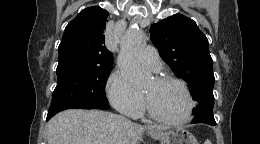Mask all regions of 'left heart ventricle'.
I'll return each instance as SVG.
<instances>
[{
	"label": "left heart ventricle",
	"mask_w": 260,
	"mask_h": 144,
	"mask_svg": "<svg viewBox=\"0 0 260 144\" xmlns=\"http://www.w3.org/2000/svg\"><path fill=\"white\" fill-rule=\"evenodd\" d=\"M142 92L154 110L166 118L183 119L188 112V99L177 84H156L151 80Z\"/></svg>",
	"instance_id": "obj_1"
}]
</instances>
